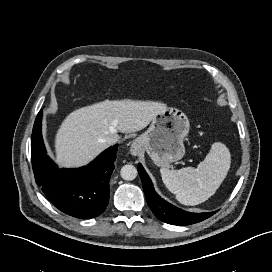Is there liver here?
I'll use <instances>...</instances> for the list:
<instances>
[{
	"mask_svg": "<svg viewBox=\"0 0 272 272\" xmlns=\"http://www.w3.org/2000/svg\"><path fill=\"white\" fill-rule=\"evenodd\" d=\"M165 109L160 102L108 99L76 109L56 133V162L61 167L86 165L108 146L107 136L140 131Z\"/></svg>",
	"mask_w": 272,
	"mask_h": 272,
	"instance_id": "liver-1",
	"label": "liver"
}]
</instances>
